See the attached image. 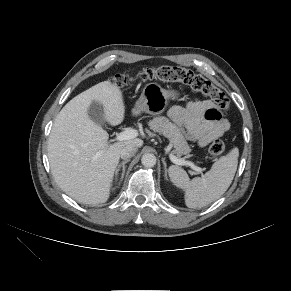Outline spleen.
<instances>
[{
  "label": "spleen",
  "instance_id": "3e777b00",
  "mask_svg": "<svg viewBox=\"0 0 291 291\" xmlns=\"http://www.w3.org/2000/svg\"><path fill=\"white\" fill-rule=\"evenodd\" d=\"M238 155V148L232 149L216 161L202 177L192 180L181 167L170 166V179L174 185L185 191L186 206L201 208L219 199L232 183L237 170Z\"/></svg>",
  "mask_w": 291,
  "mask_h": 291
}]
</instances>
